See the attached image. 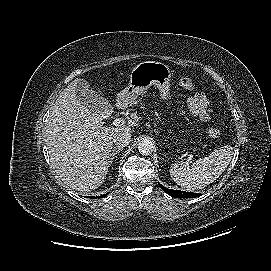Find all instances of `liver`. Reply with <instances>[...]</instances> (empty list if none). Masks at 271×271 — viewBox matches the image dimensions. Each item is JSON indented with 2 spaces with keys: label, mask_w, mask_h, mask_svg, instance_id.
<instances>
[{
  "label": "liver",
  "mask_w": 271,
  "mask_h": 271,
  "mask_svg": "<svg viewBox=\"0 0 271 271\" xmlns=\"http://www.w3.org/2000/svg\"><path fill=\"white\" fill-rule=\"evenodd\" d=\"M73 80L51 109L46 144L54 172L67 186L88 192L100 187L108 173L113 136L128 126L103 127V116L82 105Z\"/></svg>",
  "instance_id": "liver-1"
}]
</instances>
